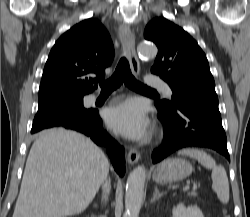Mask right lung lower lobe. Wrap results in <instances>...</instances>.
Returning a JSON list of instances; mask_svg holds the SVG:
<instances>
[{
    "instance_id": "1",
    "label": "right lung lower lobe",
    "mask_w": 250,
    "mask_h": 217,
    "mask_svg": "<svg viewBox=\"0 0 250 217\" xmlns=\"http://www.w3.org/2000/svg\"><path fill=\"white\" fill-rule=\"evenodd\" d=\"M52 128H66L81 132L89 136L97 145L105 146L116 172L123 176L125 173L124 149L106 131L103 130L102 120L98 111L92 110L87 121L78 123H64Z\"/></svg>"
}]
</instances>
